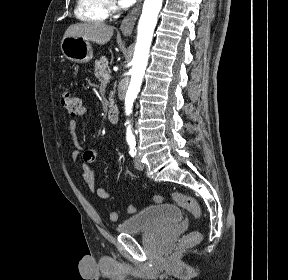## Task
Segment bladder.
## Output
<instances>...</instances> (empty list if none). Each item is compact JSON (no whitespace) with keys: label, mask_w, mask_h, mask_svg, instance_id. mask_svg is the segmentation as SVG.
Returning <instances> with one entry per match:
<instances>
[{"label":"bladder","mask_w":288,"mask_h":280,"mask_svg":"<svg viewBox=\"0 0 288 280\" xmlns=\"http://www.w3.org/2000/svg\"><path fill=\"white\" fill-rule=\"evenodd\" d=\"M183 213L172 204H159L144 208L116 226L122 234L160 231L172 227L181 221Z\"/></svg>","instance_id":"31cf9c89"}]
</instances>
